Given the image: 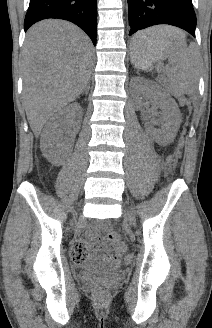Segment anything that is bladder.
Masks as SVG:
<instances>
[{"instance_id": "bladder-1", "label": "bladder", "mask_w": 212, "mask_h": 328, "mask_svg": "<svg viewBox=\"0 0 212 328\" xmlns=\"http://www.w3.org/2000/svg\"><path fill=\"white\" fill-rule=\"evenodd\" d=\"M82 270L78 272L77 277L81 281H91L101 275V273L94 269L92 262H85L82 265Z\"/></svg>"}]
</instances>
